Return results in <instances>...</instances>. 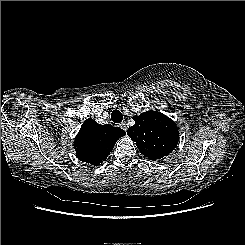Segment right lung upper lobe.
I'll use <instances>...</instances> for the list:
<instances>
[{
  "label": "right lung upper lobe",
  "mask_w": 245,
  "mask_h": 245,
  "mask_svg": "<svg viewBox=\"0 0 245 245\" xmlns=\"http://www.w3.org/2000/svg\"><path fill=\"white\" fill-rule=\"evenodd\" d=\"M126 133L119 127L100 125L89 118L76 135L74 148L78 159L94 166L106 160L117 140Z\"/></svg>",
  "instance_id": "cb5924a9"
}]
</instances>
